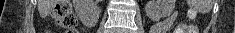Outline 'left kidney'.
I'll list each match as a JSON object with an SVG mask.
<instances>
[{
    "instance_id": "obj_1",
    "label": "left kidney",
    "mask_w": 235,
    "mask_h": 33,
    "mask_svg": "<svg viewBox=\"0 0 235 33\" xmlns=\"http://www.w3.org/2000/svg\"><path fill=\"white\" fill-rule=\"evenodd\" d=\"M175 2L176 0H149L145 5V12L152 21H159L173 12Z\"/></svg>"
}]
</instances>
